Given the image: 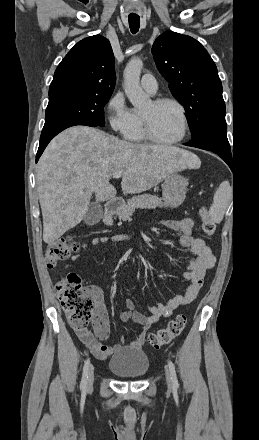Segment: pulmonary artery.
Wrapping results in <instances>:
<instances>
[{"label":"pulmonary artery","mask_w":259,"mask_h":440,"mask_svg":"<svg viewBox=\"0 0 259 440\" xmlns=\"http://www.w3.org/2000/svg\"><path fill=\"white\" fill-rule=\"evenodd\" d=\"M141 87L150 94H155L158 89V84L152 74H144L141 78Z\"/></svg>","instance_id":"pulmonary-artery-1"}]
</instances>
